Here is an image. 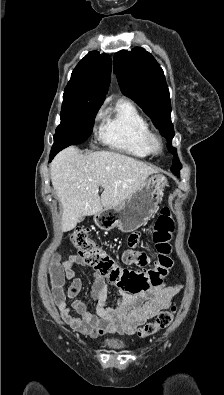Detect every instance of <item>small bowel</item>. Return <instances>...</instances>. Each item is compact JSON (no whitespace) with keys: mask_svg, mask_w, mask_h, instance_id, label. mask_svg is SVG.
<instances>
[{"mask_svg":"<svg viewBox=\"0 0 224 395\" xmlns=\"http://www.w3.org/2000/svg\"><path fill=\"white\" fill-rule=\"evenodd\" d=\"M128 242L130 249L123 255L124 262L147 265L150 257L145 252L135 249L139 235L131 234ZM77 265H87L79 255L73 254L63 262H60L58 256L55 257L48 270L49 282L62 320L75 331L91 338L107 333L133 334L148 319L166 309L178 289L177 286L166 285L162 280L146 291L136 294L121 288L118 301L107 305V279L95 272L90 292L95 309L91 312L83 300L75 299L82 288L81 279L75 276ZM66 281H71L67 290L64 288ZM70 299L74 300L69 306Z\"/></svg>","mask_w":224,"mask_h":395,"instance_id":"c3829d8e","label":"small bowel"}]
</instances>
